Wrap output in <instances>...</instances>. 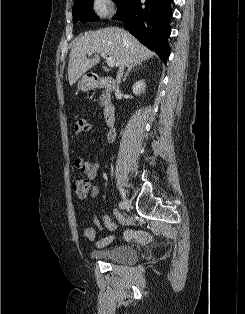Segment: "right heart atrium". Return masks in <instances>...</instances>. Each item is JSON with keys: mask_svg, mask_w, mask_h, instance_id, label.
I'll return each mask as SVG.
<instances>
[{"mask_svg": "<svg viewBox=\"0 0 245 314\" xmlns=\"http://www.w3.org/2000/svg\"><path fill=\"white\" fill-rule=\"evenodd\" d=\"M92 7L94 12L101 17L108 16L113 12L110 0H93Z\"/></svg>", "mask_w": 245, "mask_h": 314, "instance_id": "right-heart-atrium-1", "label": "right heart atrium"}]
</instances>
